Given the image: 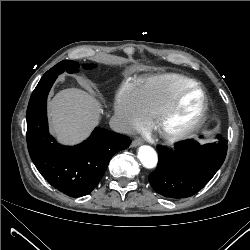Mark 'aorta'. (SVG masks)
<instances>
[{
  "label": "aorta",
  "instance_id": "1",
  "mask_svg": "<svg viewBox=\"0 0 250 250\" xmlns=\"http://www.w3.org/2000/svg\"><path fill=\"white\" fill-rule=\"evenodd\" d=\"M138 158L146 168H154L157 165L158 157L155 150L150 146H141L138 150Z\"/></svg>",
  "mask_w": 250,
  "mask_h": 250
}]
</instances>
